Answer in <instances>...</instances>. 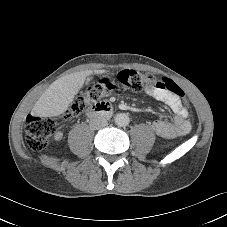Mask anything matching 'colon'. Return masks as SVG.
<instances>
[{
    "instance_id": "1",
    "label": "colon",
    "mask_w": 227,
    "mask_h": 227,
    "mask_svg": "<svg viewBox=\"0 0 227 227\" xmlns=\"http://www.w3.org/2000/svg\"><path fill=\"white\" fill-rule=\"evenodd\" d=\"M161 82L166 89L180 98L184 97L182 89L169 79L159 80L155 75L142 73L136 70H121L115 79L103 77L89 86L76 98L71 107L65 112V118H71L83 112L87 107L103 97L111 95L118 86L140 91L155 88V83ZM56 123L51 119H41L29 116L25 122V134L28 146L34 151L44 149L50 138L55 134Z\"/></svg>"
}]
</instances>
